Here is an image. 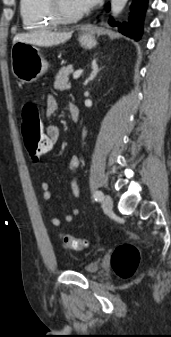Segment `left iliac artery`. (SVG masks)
<instances>
[{
    "label": "left iliac artery",
    "instance_id": "1",
    "mask_svg": "<svg viewBox=\"0 0 171 337\" xmlns=\"http://www.w3.org/2000/svg\"><path fill=\"white\" fill-rule=\"evenodd\" d=\"M94 199H95V201H97V202L102 201V200H103V193H102L101 191H96V192L94 193Z\"/></svg>",
    "mask_w": 171,
    "mask_h": 337
}]
</instances>
